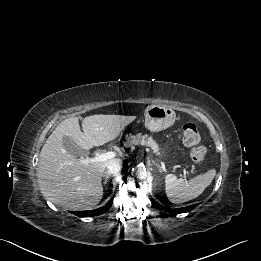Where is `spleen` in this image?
<instances>
[{
  "label": "spleen",
  "instance_id": "obj_1",
  "mask_svg": "<svg viewBox=\"0 0 261 261\" xmlns=\"http://www.w3.org/2000/svg\"><path fill=\"white\" fill-rule=\"evenodd\" d=\"M216 170L211 169L189 181L178 179L175 175L165 176L166 195L172 203L186 202L198 197L211 184Z\"/></svg>",
  "mask_w": 261,
  "mask_h": 261
}]
</instances>
